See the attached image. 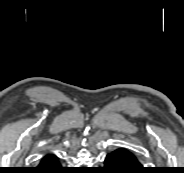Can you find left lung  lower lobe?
Listing matches in <instances>:
<instances>
[{"label":"left lung lower lobe","mask_w":184,"mask_h":173,"mask_svg":"<svg viewBox=\"0 0 184 173\" xmlns=\"http://www.w3.org/2000/svg\"><path fill=\"white\" fill-rule=\"evenodd\" d=\"M107 173H147L137 156L126 148H117L105 158Z\"/></svg>","instance_id":"left-lung-lower-lobe-1"}]
</instances>
